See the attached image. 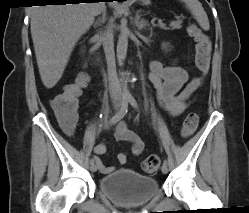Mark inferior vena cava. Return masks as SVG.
<instances>
[{
	"instance_id": "602c4592",
	"label": "inferior vena cava",
	"mask_w": 249,
	"mask_h": 213,
	"mask_svg": "<svg viewBox=\"0 0 249 213\" xmlns=\"http://www.w3.org/2000/svg\"><path fill=\"white\" fill-rule=\"evenodd\" d=\"M103 48L105 52L106 62H107V71H108V80L110 91L120 93V85L116 73V64H115V52H114V36L112 25L107 26L103 34Z\"/></svg>"
}]
</instances>
